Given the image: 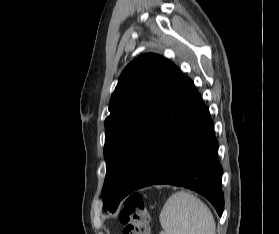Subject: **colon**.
Segmentation results:
<instances>
[{
	"label": "colon",
	"instance_id": "5ec220e1",
	"mask_svg": "<svg viewBox=\"0 0 279 234\" xmlns=\"http://www.w3.org/2000/svg\"><path fill=\"white\" fill-rule=\"evenodd\" d=\"M119 219L124 225L122 234H151L149 211L139 194H133L125 200Z\"/></svg>",
	"mask_w": 279,
	"mask_h": 234
}]
</instances>
